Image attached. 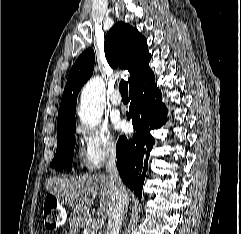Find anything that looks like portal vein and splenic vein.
<instances>
[{
  "mask_svg": "<svg viewBox=\"0 0 241 234\" xmlns=\"http://www.w3.org/2000/svg\"><path fill=\"white\" fill-rule=\"evenodd\" d=\"M104 225V220L102 218L94 219L92 222V227L101 229Z\"/></svg>",
  "mask_w": 241,
  "mask_h": 234,
  "instance_id": "18ae733b",
  "label": "portal vein and splenic vein"
}]
</instances>
